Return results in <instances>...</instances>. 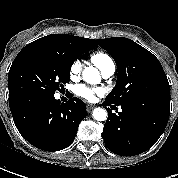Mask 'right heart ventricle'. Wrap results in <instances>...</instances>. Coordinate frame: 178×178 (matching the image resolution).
<instances>
[{"mask_svg": "<svg viewBox=\"0 0 178 178\" xmlns=\"http://www.w3.org/2000/svg\"><path fill=\"white\" fill-rule=\"evenodd\" d=\"M91 61L102 72L107 66L113 64L112 58L103 52H95L91 55Z\"/></svg>", "mask_w": 178, "mask_h": 178, "instance_id": "right-heart-ventricle-1", "label": "right heart ventricle"}]
</instances>
